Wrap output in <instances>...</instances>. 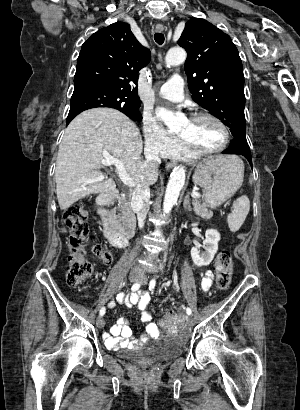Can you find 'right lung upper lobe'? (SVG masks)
I'll list each match as a JSON object with an SVG mask.
<instances>
[{"label":"right lung upper lobe","mask_w":300,"mask_h":410,"mask_svg":"<svg viewBox=\"0 0 300 410\" xmlns=\"http://www.w3.org/2000/svg\"><path fill=\"white\" fill-rule=\"evenodd\" d=\"M151 59L126 23L117 22L94 33L82 45L74 83L100 85L141 104L137 94L138 72Z\"/></svg>","instance_id":"1"}]
</instances>
